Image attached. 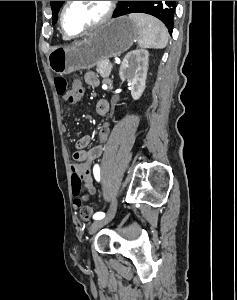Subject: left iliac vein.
Segmentation results:
<instances>
[{
  "mask_svg": "<svg viewBox=\"0 0 237 300\" xmlns=\"http://www.w3.org/2000/svg\"><path fill=\"white\" fill-rule=\"evenodd\" d=\"M117 208V202L114 200L107 212V215L104 219L97 220L93 222L89 228V233L92 234L93 232H96L99 228L107 224L110 220H112L115 216Z\"/></svg>",
  "mask_w": 237,
  "mask_h": 300,
  "instance_id": "obj_1",
  "label": "left iliac vein"
}]
</instances>
